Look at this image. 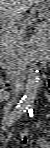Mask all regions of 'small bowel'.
Wrapping results in <instances>:
<instances>
[{
    "mask_svg": "<svg viewBox=\"0 0 50 148\" xmlns=\"http://www.w3.org/2000/svg\"><path fill=\"white\" fill-rule=\"evenodd\" d=\"M27 137H28V133L26 131H23L20 133V139L22 140V142H26ZM37 146L40 148H49L50 147V145L46 142L45 138H41L38 141Z\"/></svg>",
    "mask_w": 50,
    "mask_h": 148,
    "instance_id": "c3829d8e",
    "label": "small bowel"
}]
</instances>
